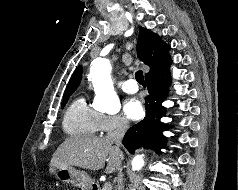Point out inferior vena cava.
<instances>
[{
	"label": "inferior vena cava",
	"instance_id": "obj_1",
	"mask_svg": "<svg viewBox=\"0 0 238 190\" xmlns=\"http://www.w3.org/2000/svg\"><path fill=\"white\" fill-rule=\"evenodd\" d=\"M129 128V121L126 118H121L118 122L117 128L108 133L107 138L115 143L116 147L119 148L121 145V141L123 136L125 135L127 129ZM118 185L116 190H123V174L120 172L118 174Z\"/></svg>",
	"mask_w": 238,
	"mask_h": 190
}]
</instances>
